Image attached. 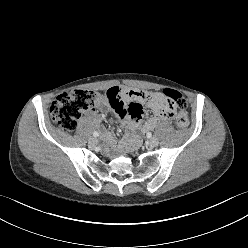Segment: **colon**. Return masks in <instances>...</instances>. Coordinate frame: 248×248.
I'll use <instances>...</instances> for the list:
<instances>
[{
	"label": "colon",
	"mask_w": 248,
	"mask_h": 248,
	"mask_svg": "<svg viewBox=\"0 0 248 248\" xmlns=\"http://www.w3.org/2000/svg\"><path fill=\"white\" fill-rule=\"evenodd\" d=\"M163 94L166 96L169 106L176 109L175 121L179 128L184 129L189 125L187 104L183 96L176 90L166 89ZM121 97V96H120ZM101 96L91 90L76 89L64 92L57 96L50 106V115L65 132L72 133L77 126V121L86 110L91 109Z\"/></svg>",
	"instance_id": "1"
}]
</instances>
